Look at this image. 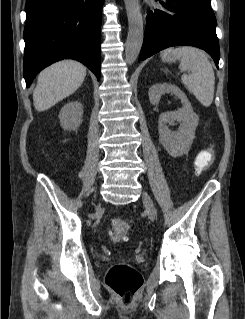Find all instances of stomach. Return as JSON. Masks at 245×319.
<instances>
[{
    "label": "stomach",
    "mask_w": 245,
    "mask_h": 319,
    "mask_svg": "<svg viewBox=\"0 0 245 319\" xmlns=\"http://www.w3.org/2000/svg\"><path fill=\"white\" fill-rule=\"evenodd\" d=\"M161 57H162V60L163 61H168V62H172V61H175V57H173L170 53V51H164L162 54H161Z\"/></svg>",
    "instance_id": "obj_1"
}]
</instances>
